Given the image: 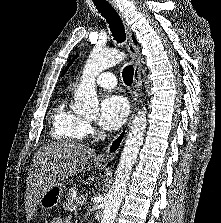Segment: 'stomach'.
I'll use <instances>...</instances> for the list:
<instances>
[{
    "mask_svg": "<svg viewBox=\"0 0 221 223\" xmlns=\"http://www.w3.org/2000/svg\"><path fill=\"white\" fill-rule=\"evenodd\" d=\"M98 168H103V165H97ZM66 187L62 183H57L51 186L40 198L39 204L43 209L51 210L58 206L61 202L63 193Z\"/></svg>",
    "mask_w": 221,
    "mask_h": 223,
    "instance_id": "0dacf381",
    "label": "stomach"
}]
</instances>
